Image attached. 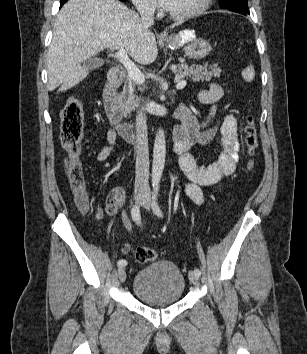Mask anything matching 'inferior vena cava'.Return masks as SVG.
Instances as JSON below:
<instances>
[{"instance_id":"602c4592","label":"inferior vena cava","mask_w":307,"mask_h":354,"mask_svg":"<svg viewBox=\"0 0 307 354\" xmlns=\"http://www.w3.org/2000/svg\"><path fill=\"white\" fill-rule=\"evenodd\" d=\"M137 9L141 16V21L144 26L149 27L154 24V7L147 5H138ZM136 141H135V156H136V176H135V192L150 193L149 187V151L147 138L146 114L142 107L136 115Z\"/></svg>"}]
</instances>
